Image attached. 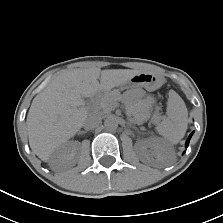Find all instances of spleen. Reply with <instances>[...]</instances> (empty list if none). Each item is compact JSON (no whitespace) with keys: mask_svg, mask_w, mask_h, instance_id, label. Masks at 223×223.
<instances>
[{"mask_svg":"<svg viewBox=\"0 0 223 223\" xmlns=\"http://www.w3.org/2000/svg\"><path fill=\"white\" fill-rule=\"evenodd\" d=\"M168 114L171 120V133L176 139L182 138L187 129L188 111L182 98L174 91H170Z\"/></svg>","mask_w":223,"mask_h":223,"instance_id":"obj_1","label":"spleen"}]
</instances>
